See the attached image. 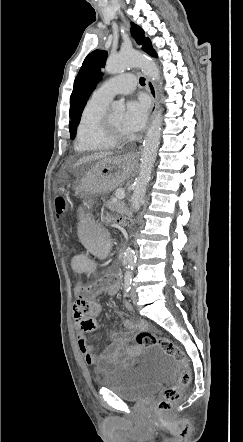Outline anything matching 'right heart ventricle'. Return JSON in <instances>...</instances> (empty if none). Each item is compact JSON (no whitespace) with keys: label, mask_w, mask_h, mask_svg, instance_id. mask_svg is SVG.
I'll use <instances>...</instances> for the list:
<instances>
[{"label":"right heart ventricle","mask_w":243,"mask_h":442,"mask_svg":"<svg viewBox=\"0 0 243 442\" xmlns=\"http://www.w3.org/2000/svg\"><path fill=\"white\" fill-rule=\"evenodd\" d=\"M108 102L91 97L82 110L77 126L74 148L79 153H87L109 149L112 145L106 143L100 134L101 121L105 115Z\"/></svg>","instance_id":"obj_1"}]
</instances>
